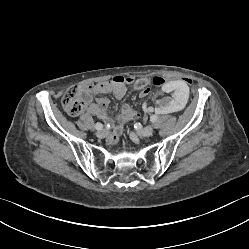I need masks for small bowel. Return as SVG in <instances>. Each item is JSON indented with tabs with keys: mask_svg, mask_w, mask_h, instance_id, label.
<instances>
[{
	"mask_svg": "<svg viewBox=\"0 0 249 249\" xmlns=\"http://www.w3.org/2000/svg\"><path fill=\"white\" fill-rule=\"evenodd\" d=\"M179 80H183L188 83L187 79L182 78ZM149 83L150 80L148 78H139L134 80L132 77L117 75L110 80L84 85L79 88L86 97V110L89 113L96 115L106 124L113 126L112 134L108 138V142L110 144L117 141L118 137L123 132L124 124L135 119L138 116V113L130 105L124 104L120 109V115L117 117L116 121H113L107 113L110 104L109 99L100 98L93 101L92 96L96 94L112 93L114 97L119 100L126 94L129 86L132 90L141 91V93H143L145 89H148ZM144 109L148 112L153 111L152 107L147 105H144Z\"/></svg>",
	"mask_w": 249,
	"mask_h": 249,
	"instance_id": "1",
	"label": "small bowel"
}]
</instances>
